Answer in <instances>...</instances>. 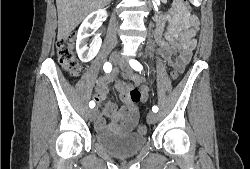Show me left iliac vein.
I'll return each instance as SVG.
<instances>
[{
	"instance_id": "1",
	"label": "left iliac vein",
	"mask_w": 250,
	"mask_h": 169,
	"mask_svg": "<svg viewBox=\"0 0 250 169\" xmlns=\"http://www.w3.org/2000/svg\"><path fill=\"white\" fill-rule=\"evenodd\" d=\"M119 66L120 68L125 72V73H130L132 71V69L130 68L128 62H125L123 60H120L119 62ZM158 119V116L156 113L154 112H149L147 115V121L149 123H155Z\"/></svg>"
}]
</instances>
